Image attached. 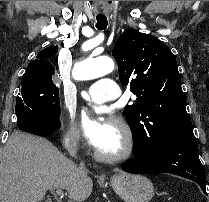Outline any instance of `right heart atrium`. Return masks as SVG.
I'll return each mask as SVG.
<instances>
[{"label":"right heart atrium","mask_w":209,"mask_h":202,"mask_svg":"<svg viewBox=\"0 0 209 202\" xmlns=\"http://www.w3.org/2000/svg\"><path fill=\"white\" fill-rule=\"evenodd\" d=\"M59 136L64 147L71 151L76 152L81 148L82 140L78 131L72 125H62L59 130ZM67 171L72 176L78 175V169L71 162L66 163Z\"/></svg>","instance_id":"right-heart-atrium-1"}]
</instances>
